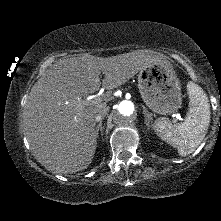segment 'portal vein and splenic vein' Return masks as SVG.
Masks as SVG:
<instances>
[{
  "label": "portal vein and splenic vein",
  "instance_id": "18ae733b",
  "mask_svg": "<svg viewBox=\"0 0 221 221\" xmlns=\"http://www.w3.org/2000/svg\"><path fill=\"white\" fill-rule=\"evenodd\" d=\"M101 101H102L101 97L97 96V97H88L87 99L83 100L82 103L94 105L100 103ZM175 118L178 120H182V118L179 115H175Z\"/></svg>",
  "mask_w": 221,
  "mask_h": 221
}]
</instances>
